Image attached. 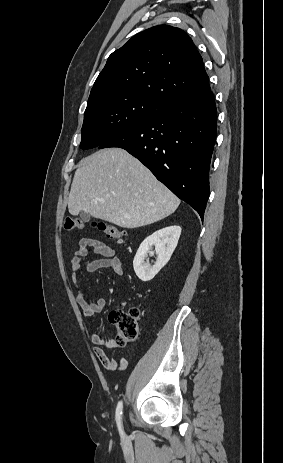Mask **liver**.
Instances as JSON below:
<instances>
[{
	"mask_svg": "<svg viewBox=\"0 0 283 463\" xmlns=\"http://www.w3.org/2000/svg\"><path fill=\"white\" fill-rule=\"evenodd\" d=\"M177 198L139 160L121 148L83 158L75 171L68 210L81 211L123 228L153 224L171 215Z\"/></svg>",
	"mask_w": 283,
	"mask_h": 463,
	"instance_id": "liver-1",
	"label": "liver"
}]
</instances>
